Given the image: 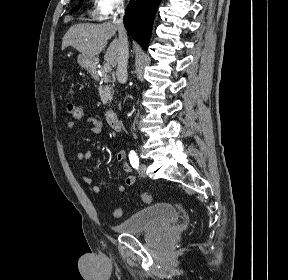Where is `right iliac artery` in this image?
<instances>
[{
	"label": "right iliac artery",
	"instance_id": "82829eb1",
	"mask_svg": "<svg viewBox=\"0 0 288 280\" xmlns=\"http://www.w3.org/2000/svg\"><path fill=\"white\" fill-rule=\"evenodd\" d=\"M129 160H130V163H131L132 167H134V164H139V158H138L137 154L134 151L130 152Z\"/></svg>",
	"mask_w": 288,
	"mask_h": 280
}]
</instances>
